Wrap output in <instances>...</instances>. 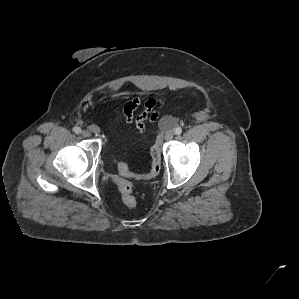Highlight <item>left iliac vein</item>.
<instances>
[{
    "label": "left iliac vein",
    "mask_w": 299,
    "mask_h": 299,
    "mask_svg": "<svg viewBox=\"0 0 299 299\" xmlns=\"http://www.w3.org/2000/svg\"><path fill=\"white\" fill-rule=\"evenodd\" d=\"M174 137V132L172 130H169L165 134V140L169 141Z\"/></svg>",
    "instance_id": "4c4485c4"
}]
</instances>
